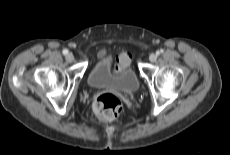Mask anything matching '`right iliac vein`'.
Segmentation results:
<instances>
[{
  "label": "right iliac vein",
  "instance_id": "right-iliac-vein-1",
  "mask_svg": "<svg viewBox=\"0 0 230 155\" xmlns=\"http://www.w3.org/2000/svg\"><path fill=\"white\" fill-rule=\"evenodd\" d=\"M73 60H74V56L72 53H69L66 55V61L67 62L71 63V62H73Z\"/></svg>",
  "mask_w": 230,
  "mask_h": 155
}]
</instances>
